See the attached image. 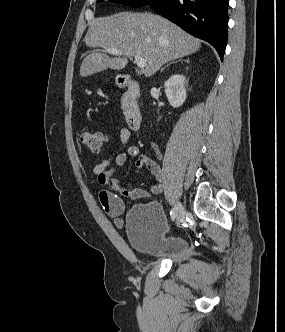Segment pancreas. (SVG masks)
I'll return each mask as SVG.
<instances>
[{
    "mask_svg": "<svg viewBox=\"0 0 285 332\" xmlns=\"http://www.w3.org/2000/svg\"><path fill=\"white\" fill-rule=\"evenodd\" d=\"M126 103H127L126 97L123 96V98H122V107H123V110H126Z\"/></svg>",
    "mask_w": 285,
    "mask_h": 332,
    "instance_id": "cf45deb5",
    "label": "pancreas"
}]
</instances>
